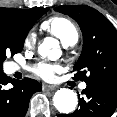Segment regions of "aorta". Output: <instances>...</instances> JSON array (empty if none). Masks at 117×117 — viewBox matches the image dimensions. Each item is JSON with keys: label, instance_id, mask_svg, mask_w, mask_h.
<instances>
[{"label": "aorta", "instance_id": "1", "mask_svg": "<svg viewBox=\"0 0 117 117\" xmlns=\"http://www.w3.org/2000/svg\"><path fill=\"white\" fill-rule=\"evenodd\" d=\"M38 52L41 56L50 60H57L61 56L58 42L50 37L44 39V42L38 48ZM53 104L60 113L69 114L76 109L78 99L73 90L61 88L55 93Z\"/></svg>", "mask_w": 117, "mask_h": 117}]
</instances>
